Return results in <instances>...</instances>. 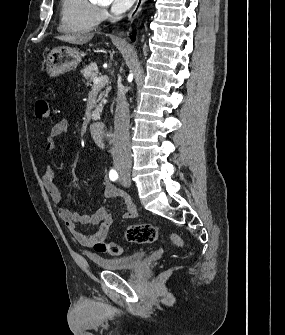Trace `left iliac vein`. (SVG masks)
<instances>
[{"label": "left iliac vein", "mask_w": 285, "mask_h": 335, "mask_svg": "<svg viewBox=\"0 0 285 335\" xmlns=\"http://www.w3.org/2000/svg\"><path fill=\"white\" fill-rule=\"evenodd\" d=\"M121 185L125 186V187H128L130 186V177H123V174L121 173L120 174V177H119V180Z\"/></svg>", "instance_id": "1"}]
</instances>
